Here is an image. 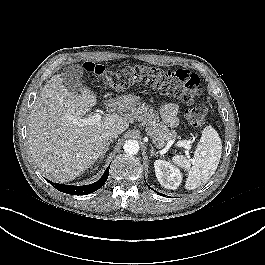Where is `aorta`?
<instances>
[{
    "label": "aorta",
    "instance_id": "1",
    "mask_svg": "<svg viewBox=\"0 0 265 265\" xmlns=\"http://www.w3.org/2000/svg\"><path fill=\"white\" fill-rule=\"evenodd\" d=\"M123 149L128 154H136L139 151V143L136 140H128L124 143Z\"/></svg>",
    "mask_w": 265,
    "mask_h": 265
}]
</instances>
